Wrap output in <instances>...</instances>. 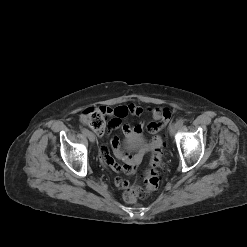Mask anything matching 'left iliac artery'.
Segmentation results:
<instances>
[{
  "mask_svg": "<svg viewBox=\"0 0 247 247\" xmlns=\"http://www.w3.org/2000/svg\"><path fill=\"white\" fill-rule=\"evenodd\" d=\"M177 123L181 127L183 125V123H184V120H182V119L181 120H178Z\"/></svg>",
  "mask_w": 247,
  "mask_h": 247,
  "instance_id": "44dca946",
  "label": "left iliac artery"
}]
</instances>
